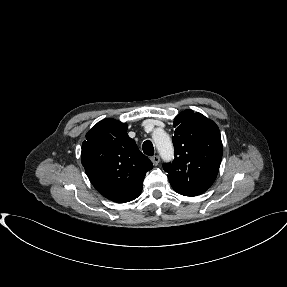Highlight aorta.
<instances>
[{"label": "aorta", "instance_id": "1", "mask_svg": "<svg viewBox=\"0 0 287 287\" xmlns=\"http://www.w3.org/2000/svg\"><path fill=\"white\" fill-rule=\"evenodd\" d=\"M152 138L162 159L165 161L172 160L174 150L169 135L163 129L157 128L153 132Z\"/></svg>", "mask_w": 287, "mask_h": 287}]
</instances>
